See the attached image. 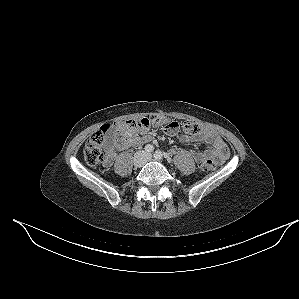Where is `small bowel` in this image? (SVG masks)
<instances>
[{
  "mask_svg": "<svg viewBox=\"0 0 299 299\" xmlns=\"http://www.w3.org/2000/svg\"><path fill=\"white\" fill-rule=\"evenodd\" d=\"M114 135L106 144L107 156L104 160V166H112L115 159L116 150H124L136 146L142 142H148L152 139V135L147 129H137L130 127L128 122H120L114 130ZM176 132H168L173 135ZM181 142L189 144L191 142H203L211 144V148L205 151H194L191 153L192 158L202 164L206 161H211L215 165L221 164L229 157V148L221 136L209 129H201L196 135H183L180 138ZM180 151L172 149L171 153L176 154Z\"/></svg>",
  "mask_w": 299,
  "mask_h": 299,
  "instance_id": "c3829d8e",
  "label": "small bowel"
}]
</instances>
